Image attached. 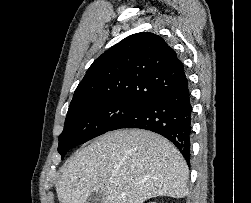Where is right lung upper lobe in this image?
Returning a JSON list of instances; mask_svg holds the SVG:
<instances>
[{
    "label": "right lung upper lobe",
    "mask_w": 251,
    "mask_h": 203,
    "mask_svg": "<svg viewBox=\"0 0 251 203\" xmlns=\"http://www.w3.org/2000/svg\"><path fill=\"white\" fill-rule=\"evenodd\" d=\"M185 79L182 62L162 37L136 33L93 62L70 105L92 101L145 104Z\"/></svg>",
    "instance_id": "obj_1"
}]
</instances>
